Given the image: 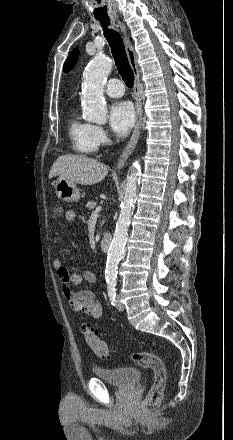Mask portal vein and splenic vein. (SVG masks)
<instances>
[{"label":"portal vein and splenic vein","instance_id":"obj_1","mask_svg":"<svg viewBox=\"0 0 233 440\" xmlns=\"http://www.w3.org/2000/svg\"><path fill=\"white\" fill-rule=\"evenodd\" d=\"M100 211H101V207L98 206V207L96 208V210L93 212V214H98Z\"/></svg>","mask_w":233,"mask_h":440}]
</instances>
